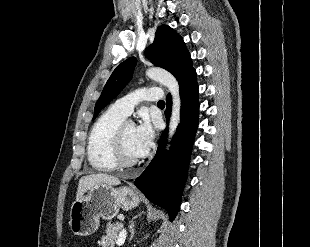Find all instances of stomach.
Segmentation results:
<instances>
[{"label": "stomach", "mask_w": 310, "mask_h": 247, "mask_svg": "<svg viewBox=\"0 0 310 247\" xmlns=\"http://www.w3.org/2000/svg\"><path fill=\"white\" fill-rule=\"evenodd\" d=\"M139 203V195L129 187L94 186L87 195L72 203L69 212L70 229L74 235L89 236L97 231L100 218L111 220L120 208L128 211Z\"/></svg>", "instance_id": "0dacf381"}]
</instances>
